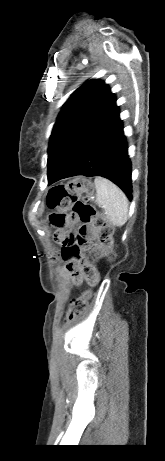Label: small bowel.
Returning a JSON list of instances; mask_svg holds the SVG:
<instances>
[{"label": "small bowel", "instance_id": "obj_1", "mask_svg": "<svg viewBox=\"0 0 165 461\" xmlns=\"http://www.w3.org/2000/svg\"><path fill=\"white\" fill-rule=\"evenodd\" d=\"M96 234L95 225H74L73 229H57V233H52V241H56L57 249H61L58 274L64 285H78L82 282L81 268L87 262L83 246H87V242L92 244Z\"/></svg>", "mask_w": 165, "mask_h": 461}]
</instances>
